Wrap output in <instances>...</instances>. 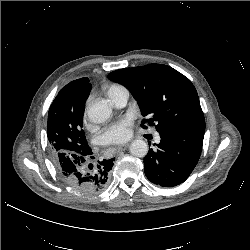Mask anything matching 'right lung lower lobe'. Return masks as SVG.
<instances>
[{"label":"right lung lower lobe","mask_w":250,"mask_h":250,"mask_svg":"<svg viewBox=\"0 0 250 250\" xmlns=\"http://www.w3.org/2000/svg\"><path fill=\"white\" fill-rule=\"evenodd\" d=\"M91 148L84 154L68 155L66 152L58 153L54 161L60 176L68 185L83 196H94L103 191L109 182V173L113 167V159H103L90 163Z\"/></svg>","instance_id":"right-lung-lower-lobe-1"}]
</instances>
